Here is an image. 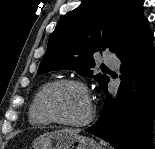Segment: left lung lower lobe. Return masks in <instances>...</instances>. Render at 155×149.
Wrapping results in <instances>:
<instances>
[{
  "instance_id": "left-lung-lower-lobe-1",
  "label": "left lung lower lobe",
  "mask_w": 155,
  "mask_h": 149,
  "mask_svg": "<svg viewBox=\"0 0 155 149\" xmlns=\"http://www.w3.org/2000/svg\"><path fill=\"white\" fill-rule=\"evenodd\" d=\"M154 34L146 19L137 33L115 53L121 60L116 98L107 95L100 118L87 128L116 149H152L155 107Z\"/></svg>"
}]
</instances>
